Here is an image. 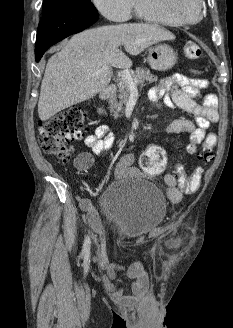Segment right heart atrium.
Wrapping results in <instances>:
<instances>
[{
	"label": "right heart atrium",
	"instance_id": "obj_1",
	"mask_svg": "<svg viewBox=\"0 0 233 328\" xmlns=\"http://www.w3.org/2000/svg\"><path fill=\"white\" fill-rule=\"evenodd\" d=\"M135 0H91L97 11L113 22L130 19Z\"/></svg>",
	"mask_w": 233,
	"mask_h": 328
}]
</instances>
